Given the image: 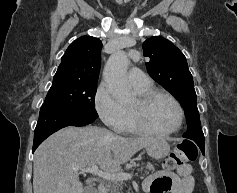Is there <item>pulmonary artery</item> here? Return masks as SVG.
I'll use <instances>...</instances> for the list:
<instances>
[{
    "mask_svg": "<svg viewBox=\"0 0 237 193\" xmlns=\"http://www.w3.org/2000/svg\"><path fill=\"white\" fill-rule=\"evenodd\" d=\"M128 78L135 89H146L152 86L150 77L139 69L130 70Z\"/></svg>",
    "mask_w": 237,
    "mask_h": 193,
    "instance_id": "1",
    "label": "pulmonary artery"
}]
</instances>
